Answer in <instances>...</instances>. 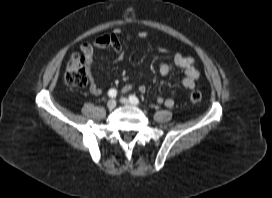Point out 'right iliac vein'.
<instances>
[{
    "instance_id": "63e3f726",
    "label": "right iliac vein",
    "mask_w": 272,
    "mask_h": 198,
    "mask_svg": "<svg viewBox=\"0 0 272 198\" xmlns=\"http://www.w3.org/2000/svg\"><path fill=\"white\" fill-rule=\"evenodd\" d=\"M117 103L114 99H110L108 102H107V107L109 109H114L116 107Z\"/></svg>"
}]
</instances>
